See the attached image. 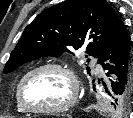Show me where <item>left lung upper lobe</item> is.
Masks as SVG:
<instances>
[{
  "instance_id": "obj_1",
  "label": "left lung upper lobe",
  "mask_w": 133,
  "mask_h": 118,
  "mask_svg": "<svg viewBox=\"0 0 133 118\" xmlns=\"http://www.w3.org/2000/svg\"><path fill=\"white\" fill-rule=\"evenodd\" d=\"M121 25L122 20L106 0H66L44 10L25 28L4 73L40 57L72 53L71 48H86V57L99 58ZM87 70L89 73V68ZM109 95L108 113L113 116L126 114L131 92Z\"/></svg>"
}]
</instances>
